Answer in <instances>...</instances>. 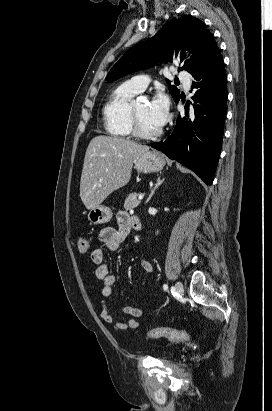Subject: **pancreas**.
Listing matches in <instances>:
<instances>
[{
	"instance_id": "cf45deb5",
	"label": "pancreas",
	"mask_w": 272,
	"mask_h": 411,
	"mask_svg": "<svg viewBox=\"0 0 272 411\" xmlns=\"http://www.w3.org/2000/svg\"><path fill=\"white\" fill-rule=\"evenodd\" d=\"M137 197L138 193L136 192L129 194L125 200L124 209L131 210L136 208L140 204V201L137 200Z\"/></svg>"
}]
</instances>
